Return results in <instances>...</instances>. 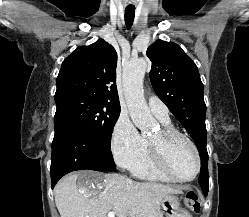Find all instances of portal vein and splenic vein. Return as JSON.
<instances>
[{
    "label": "portal vein and splenic vein",
    "mask_w": 249,
    "mask_h": 217,
    "mask_svg": "<svg viewBox=\"0 0 249 217\" xmlns=\"http://www.w3.org/2000/svg\"><path fill=\"white\" fill-rule=\"evenodd\" d=\"M108 217H115V212L114 211L109 212Z\"/></svg>",
    "instance_id": "1"
}]
</instances>
